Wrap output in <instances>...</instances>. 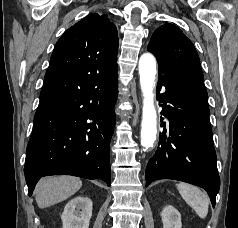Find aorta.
Instances as JSON below:
<instances>
[{
    "instance_id": "aorta-1",
    "label": "aorta",
    "mask_w": 238,
    "mask_h": 228,
    "mask_svg": "<svg viewBox=\"0 0 238 228\" xmlns=\"http://www.w3.org/2000/svg\"><path fill=\"white\" fill-rule=\"evenodd\" d=\"M138 69L143 96L141 145L148 149L153 146L157 134V113L154 105V87L157 72L155 57L150 53L141 55Z\"/></svg>"
}]
</instances>
